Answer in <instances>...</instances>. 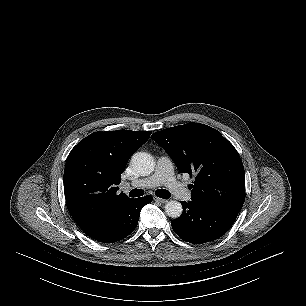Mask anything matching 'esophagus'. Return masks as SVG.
<instances>
[{
	"mask_svg": "<svg viewBox=\"0 0 306 306\" xmlns=\"http://www.w3.org/2000/svg\"><path fill=\"white\" fill-rule=\"evenodd\" d=\"M153 199H154V201L159 202L161 204H165L168 201L167 199L159 198V197H156V196Z\"/></svg>",
	"mask_w": 306,
	"mask_h": 306,
	"instance_id": "esophagus-1",
	"label": "esophagus"
}]
</instances>
